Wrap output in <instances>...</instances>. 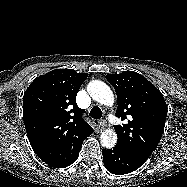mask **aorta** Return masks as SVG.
<instances>
[{
	"label": "aorta",
	"mask_w": 187,
	"mask_h": 187,
	"mask_svg": "<svg viewBox=\"0 0 187 187\" xmlns=\"http://www.w3.org/2000/svg\"><path fill=\"white\" fill-rule=\"evenodd\" d=\"M87 91L90 96L97 102L112 106L114 103V95L108 85L100 80L89 82ZM101 145L105 148H113L117 142V135L113 130H105L100 137Z\"/></svg>",
	"instance_id": "aorta-1"
}]
</instances>
